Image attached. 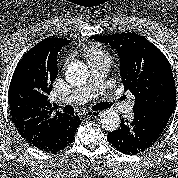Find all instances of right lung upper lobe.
Listing matches in <instances>:
<instances>
[{"label": "right lung upper lobe", "mask_w": 178, "mask_h": 178, "mask_svg": "<svg viewBox=\"0 0 178 178\" xmlns=\"http://www.w3.org/2000/svg\"><path fill=\"white\" fill-rule=\"evenodd\" d=\"M70 40L47 38L30 49L18 63L9 87L11 116L21 137L39 147L75 121L48 101L58 75L57 56Z\"/></svg>", "instance_id": "obj_1"}]
</instances>
